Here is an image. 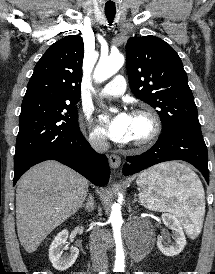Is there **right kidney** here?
<instances>
[{
	"mask_svg": "<svg viewBox=\"0 0 215 274\" xmlns=\"http://www.w3.org/2000/svg\"><path fill=\"white\" fill-rule=\"evenodd\" d=\"M68 230H63L57 234L50 245L49 259L56 270L65 271L71 267L79 255L77 247H71L70 253L63 255V252L68 249L67 244Z\"/></svg>",
	"mask_w": 215,
	"mask_h": 274,
	"instance_id": "obj_1",
	"label": "right kidney"
}]
</instances>
